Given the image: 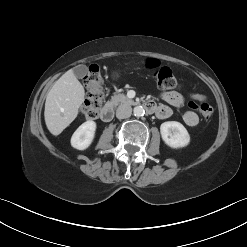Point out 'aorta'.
<instances>
[{
	"mask_svg": "<svg viewBox=\"0 0 247 247\" xmlns=\"http://www.w3.org/2000/svg\"><path fill=\"white\" fill-rule=\"evenodd\" d=\"M133 113H134V115H135L136 117H141V116L144 115L145 110H144V108H143L142 106H136V107H134V109H133Z\"/></svg>",
	"mask_w": 247,
	"mask_h": 247,
	"instance_id": "762f6f07",
	"label": "aorta"
}]
</instances>
